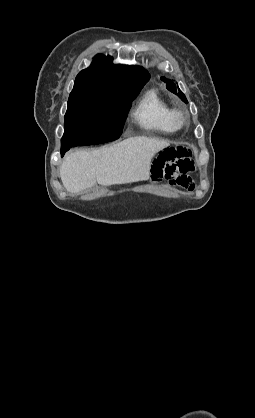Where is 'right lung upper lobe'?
<instances>
[{
  "label": "right lung upper lobe",
  "instance_id": "cb5924a9",
  "mask_svg": "<svg viewBox=\"0 0 255 418\" xmlns=\"http://www.w3.org/2000/svg\"><path fill=\"white\" fill-rule=\"evenodd\" d=\"M113 58L98 54L89 68L79 72L71 93L80 91L127 92L141 89L149 73L140 66L112 64Z\"/></svg>",
  "mask_w": 255,
  "mask_h": 418
}]
</instances>
